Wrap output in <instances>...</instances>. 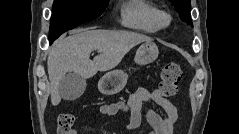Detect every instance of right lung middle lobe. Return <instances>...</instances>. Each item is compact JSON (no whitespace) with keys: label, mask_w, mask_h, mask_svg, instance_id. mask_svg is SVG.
<instances>
[{"label":"right lung middle lobe","mask_w":239,"mask_h":134,"mask_svg":"<svg viewBox=\"0 0 239 134\" xmlns=\"http://www.w3.org/2000/svg\"><path fill=\"white\" fill-rule=\"evenodd\" d=\"M109 0H54L49 40L99 17Z\"/></svg>","instance_id":"obj_1"}]
</instances>
